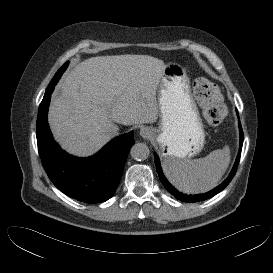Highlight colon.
<instances>
[{
	"label": "colon",
	"instance_id": "obj_1",
	"mask_svg": "<svg viewBox=\"0 0 273 273\" xmlns=\"http://www.w3.org/2000/svg\"><path fill=\"white\" fill-rule=\"evenodd\" d=\"M194 94L202 106L203 115L208 125L217 127L227 116L221 101L218 87L207 79H198L194 83Z\"/></svg>",
	"mask_w": 273,
	"mask_h": 273
}]
</instances>
